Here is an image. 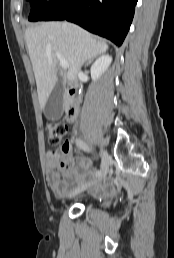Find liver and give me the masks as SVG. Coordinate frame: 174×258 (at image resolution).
Wrapping results in <instances>:
<instances>
[{"mask_svg":"<svg viewBox=\"0 0 174 258\" xmlns=\"http://www.w3.org/2000/svg\"><path fill=\"white\" fill-rule=\"evenodd\" d=\"M25 40L41 109H44L58 81L57 54L69 64L66 79L74 82L84 61L103 54L108 49L104 41L96 40L81 27L67 22H48L29 27L25 31Z\"/></svg>","mask_w":174,"mask_h":258,"instance_id":"liver-1","label":"liver"}]
</instances>
